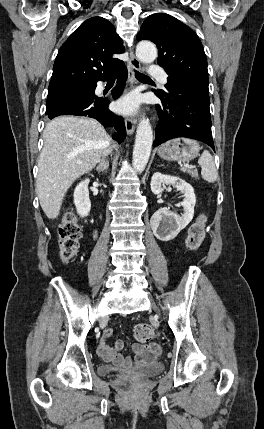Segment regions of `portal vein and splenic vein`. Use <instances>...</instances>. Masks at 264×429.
<instances>
[{
    "label": "portal vein and splenic vein",
    "mask_w": 264,
    "mask_h": 429,
    "mask_svg": "<svg viewBox=\"0 0 264 429\" xmlns=\"http://www.w3.org/2000/svg\"><path fill=\"white\" fill-rule=\"evenodd\" d=\"M182 166H183L184 168H188V169H193V168H194V166L189 165V164H187V163H184Z\"/></svg>",
    "instance_id": "obj_1"
}]
</instances>
